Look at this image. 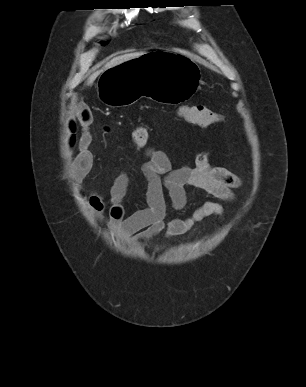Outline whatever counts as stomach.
<instances>
[{"mask_svg": "<svg viewBox=\"0 0 306 387\" xmlns=\"http://www.w3.org/2000/svg\"><path fill=\"white\" fill-rule=\"evenodd\" d=\"M148 50L150 53L101 71L98 95L103 103L125 107L143 95L158 104H187L190 92L201 82L199 66L182 53L164 51V46Z\"/></svg>", "mask_w": 306, "mask_h": 387, "instance_id": "obj_1", "label": "stomach"}]
</instances>
